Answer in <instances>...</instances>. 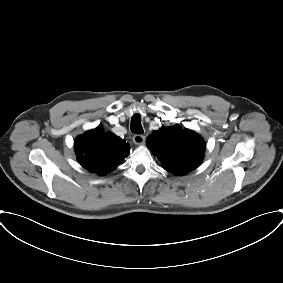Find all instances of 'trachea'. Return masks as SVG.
<instances>
[{
	"label": "trachea",
	"instance_id": "trachea-1",
	"mask_svg": "<svg viewBox=\"0 0 283 283\" xmlns=\"http://www.w3.org/2000/svg\"><path fill=\"white\" fill-rule=\"evenodd\" d=\"M131 131L135 134L143 133V128L141 125V117L139 114H134L131 118Z\"/></svg>",
	"mask_w": 283,
	"mask_h": 283
}]
</instances>
